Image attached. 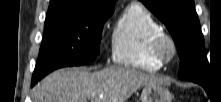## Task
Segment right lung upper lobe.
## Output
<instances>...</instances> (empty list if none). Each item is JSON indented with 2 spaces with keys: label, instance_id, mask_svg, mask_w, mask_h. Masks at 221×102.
Returning <instances> with one entry per match:
<instances>
[{
  "label": "right lung upper lobe",
  "instance_id": "obj_1",
  "mask_svg": "<svg viewBox=\"0 0 221 102\" xmlns=\"http://www.w3.org/2000/svg\"><path fill=\"white\" fill-rule=\"evenodd\" d=\"M116 0H50L47 13L77 9H114Z\"/></svg>",
  "mask_w": 221,
  "mask_h": 102
}]
</instances>
